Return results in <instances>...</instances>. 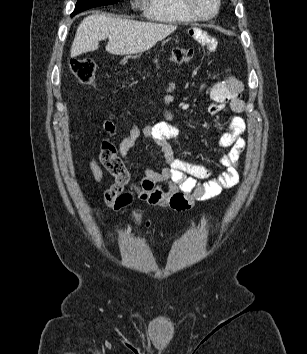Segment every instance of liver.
Masks as SVG:
<instances>
[{"label": "liver", "instance_id": "obj_1", "mask_svg": "<svg viewBox=\"0 0 307 354\" xmlns=\"http://www.w3.org/2000/svg\"><path fill=\"white\" fill-rule=\"evenodd\" d=\"M176 30V26L112 18L94 13L80 23L71 47V57L95 51L99 41L109 39L106 51L113 55H131L151 49Z\"/></svg>", "mask_w": 307, "mask_h": 354}]
</instances>
